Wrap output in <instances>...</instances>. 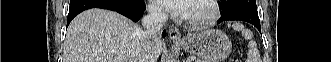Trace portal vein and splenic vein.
<instances>
[{
	"instance_id": "18ae733b",
	"label": "portal vein and splenic vein",
	"mask_w": 331,
	"mask_h": 62,
	"mask_svg": "<svg viewBox=\"0 0 331 62\" xmlns=\"http://www.w3.org/2000/svg\"><path fill=\"white\" fill-rule=\"evenodd\" d=\"M118 60H122L121 58H118ZM188 60H194V58H188Z\"/></svg>"
}]
</instances>
